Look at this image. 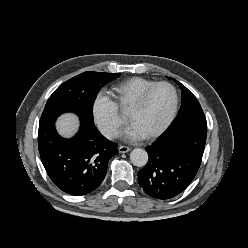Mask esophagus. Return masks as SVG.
<instances>
[{
	"instance_id": "esophagus-1",
	"label": "esophagus",
	"mask_w": 248,
	"mask_h": 248,
	"mask_svg": "<svg viewBox=\"0 0 248 248\" xmlns=\"http://www.w3.org/2000/svg\"><path fill=\"white\" fill-rule=\"evenodd\" d=\"M118 150H119L120 153H127L131 149L129 147H127V146L122 145V146H119Z\"/></svg>"
}]
</instances>
